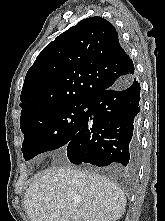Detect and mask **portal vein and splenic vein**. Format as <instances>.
Wrapping results in <instances>:
<instances>
[{"label":"portal vein and splenic vein","instance_id":"18ae733b","mask_svg":"<svg viewBox=\"0 0 165 221\" xmlns=\"http://www.w3.org/2000/svg\"><path fill=\"white\" fill-rule=\"evenodd\" d=\"M52 217H53V218H56V217H57V215H56V214H52Z\"/></svg>","mask_w":165,"mask_h":221}]
</instances>
